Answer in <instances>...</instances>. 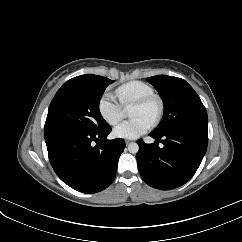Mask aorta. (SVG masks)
Here are the masks:
<instances>
[{
    "instance_id": "762f6f07",
    "label": "aorta",
    "mask_w": 242,
    "mask_h": 242,
    "mask_svg": "<svg viewBox=\"0 0 242 242\" xmlns=\"http://www.w3.org/2000/svg\"><path fill=\"white\" fill-rule=\"evenodd\" d=\"M128 151L132 154H136L139 151V146L137 143L132 142L128 145Z\"/></svg>"
}]
</instances>
